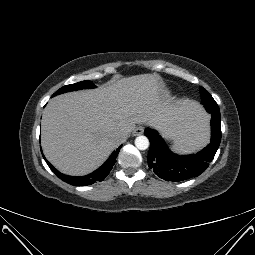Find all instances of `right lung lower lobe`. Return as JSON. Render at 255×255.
I'll list each match as a JSON object with an SVG mask.
<instances>
[{
    "instance_id": "obj_1",
    "label": "right lung lower lobe",
    "mask_w": 255,
    "mask_h": 255,
    "mask_svg": "<svg viewBox=\"0 0 255 255\" xmlns=\"http://www.w3.org/2000/svg\"><path fill=\"white\" fill-rule=\"evenodd\" d=\"M120 148L121 146L117 148L108 158V160L96 171L81 177H74L62 174L58 170H56L45 158L44 159L46 160L50 169L64 182L74 186L91 185L103 181L107 177V175L109 174V172L111 171L112 167L116 162V157L120 151Z\"/></svg>"
}]
</instances>
